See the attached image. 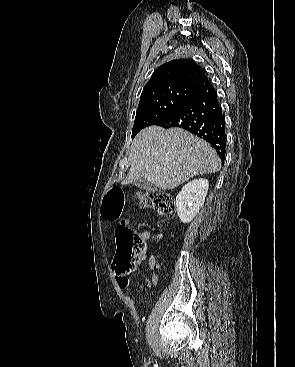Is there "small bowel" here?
Here are the masks:
<instances>
[{
  "mask_svg": "<svg viewBox=\"0 0 295 367\" xmlns=\"http://www.w3.org/2000/svg\"><path fill=\"white\" fill-rule=\"evenodd\" d=\"M128 222H129V220H123L120 223L126 225ZM144 238L147 239L148 234H144ZM148 265H149V268H150V271H151V277H150V279L146 280L144 284L146 286L156 285L158 283V276H157L155 270L158 268L159 265H158L155 257L152 254H150L148 256ZM113 271H114V277H115V280H116V283H117L118 287L120 289H127L131 285L130 278L126 274L118 273L115 269H113Z\"/></svg>",
  "mask_w": 295,
  "mask_h": 367,
  "instance_id": "obj_1",
  "label": "small bowel"
}]
</instances>
